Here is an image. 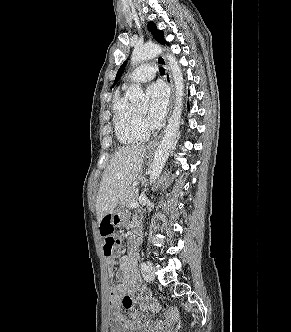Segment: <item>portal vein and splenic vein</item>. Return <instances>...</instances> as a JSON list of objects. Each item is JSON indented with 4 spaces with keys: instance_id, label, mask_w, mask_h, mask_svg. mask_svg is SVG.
I'll list each match as a JSON object with an SVG mask.
<instances>
[{
    "instance_id": "portal-vein-and-splenic-vein-1",
    "label": "portal vein and splenic vein",
    "mask_w": 291,
    "mask_h": 332,
    "mask_svg": "<svg viewBox=\"0 0 291 332\" xmlns=\"http://www.w3.org/2000/svg\"><path fill=\"white\" fill-rule=\"evenodd\" d=\"M138 205V202L137 201H134V202H132L129 206L131 207V208H134V207H136Z\"/></svg>"
}]
</instances>
